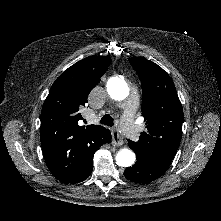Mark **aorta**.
Masks as SVG:
<instances>
[{"label":"aorta","mask_w":221,"mask_h":221,"mask_svg":"<svg viewBox=\"0 0 221 221\" xmlns=\"http://www.w3.org/2000/svg\"><path fill=\"white\" fill-rule=\"evenodd\" d=\"M107 92L114 100H124L129 95L127 83L119 77H111L107 82ZM135 153L130 149H121L116 155V164L122 167L132 166L135 162Z\"/></svg>","instance_id":"1"}]
</instances>
